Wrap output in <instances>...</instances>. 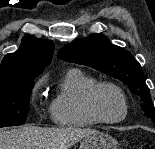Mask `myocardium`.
<instances>
[{"label": "myocardium", "instance_id": "myocardium-1", "mask_svg": "<svg viewBox=\"0 0 155 149\" xmlns=\"http://www.w3.org/2000/svg\"><path fill=\"white\" fill-rule=\"evenodd\" d=\"M103 87L113 88L114 90L118 92V94L122 98V101L124 104V112L121 117L116 118V119H107L99 111L97 107V103H96V96H97L98 91ZM86 104L92 116L95 119H97L99 122L105 123V124H117V123L124 121L127 118L129 114V109H130L128 97L126 93L124 92V90L118 84L111 82V81H97L95 84H93L87 91Z\"/></svg>", "mask_w": 155, "mask_h": 149}]
</instances>
